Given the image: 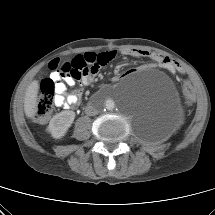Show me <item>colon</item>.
Returning a JSON list of instances; mask_svg holds the SVG:
<instances>
[{
	"label": "colon",
	"instance_id": "1",
	"mask_svg": "<svg viewBox=\"0 0 215 215\" xmlns=\"http://www.w3.org/2000/svg\"><path fill=\"white\" fill-rule=\"evenodd\" d=\"M84 67L85 65L79 56H76L71 62H67L62 66H59L57 59L49 63L51 70L62 74L68 73L76 79L80 78ZM171 67H173V63ZM55 87L56 82L52 77L46 78L41 82L40 93L34 109V119L36 121L45 122L49 118L55 101ZM180 88L186 92L185 101L189 105H194L198 101L199 92L193 88V82L189 78H184L180 82Z\"/></svg>",
	"mask_w": 215,
	"mask_h": 215
}]
</instances>
